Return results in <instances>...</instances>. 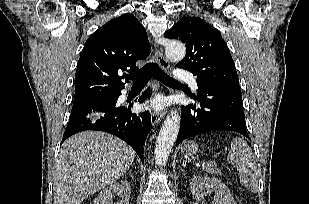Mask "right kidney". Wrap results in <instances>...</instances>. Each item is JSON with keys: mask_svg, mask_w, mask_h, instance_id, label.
Masks as SVG:
<instances>
[{"mask_svg": "<svg viewBox=\"0 0 309 204\" xmlns=\"http://www.w3.org/2000/svg\"><path fill=\"white\" fill-rule=\"evenodd\" d=\"M131 185L127 181H118L105 187L93 204H113V197L120 195L121 201L117 204H129Z\"/></svg>", "mask_w": 309, "mask_h": 204, "instance_id": "ca27d5eb", "label": "right kidney"}]
</instances>
